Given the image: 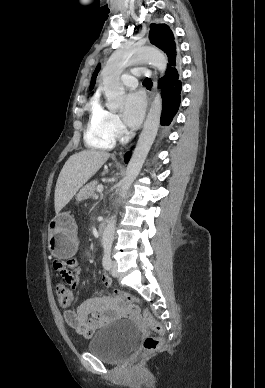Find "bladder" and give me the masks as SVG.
Instances as JSON below:
<instances>
[{
    "instance_id": "31cf9c89",
    "label": "bladder",
    "mask_w": 265,
    "mask_h": 388,
    "mask_svg": "<svg viewBox=\"0 0 265 388\" xmlns=\"http://www.w3.org/2000/svg\"><path fill=\"white\" fill-rule=\"evenodd\" d=\"M137 327L131 321H118L101 328L88 344V351L116 361L135 344Z\"/></svg>"
}]
</instances>
